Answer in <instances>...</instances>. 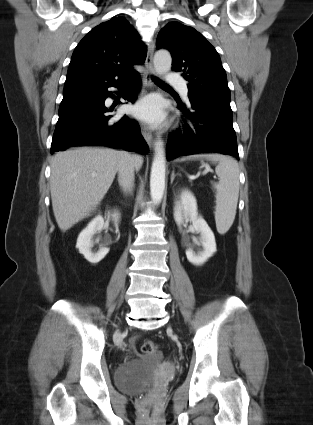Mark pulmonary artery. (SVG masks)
<instances>
[{
    "label": "pulmonary artery",
    "mask_w": 313,
    "mask_h": 425,
    "mask_svg": "<svg viewBox=\"0 0 313 425\" xmlns=\"http://www.w3.org/2000/svg\"><path fill=\"white\" fill-rule=\"evenodd\" d=\"M167 83L170 85H178L181 88V93L184 97L188 96V89L183 84V79L175 72H169L167 73L166 77Z\"/></svg>",
    "instance_id": "obj_1"
}]
</instances>
